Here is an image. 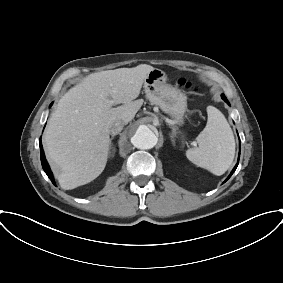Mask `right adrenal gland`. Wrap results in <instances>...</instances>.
Returning a JSON list of instances; mask_svg holds the SVG:
<instances>
[{"label":"right adrenal gland","instance_id":"2a0ac1e0","mask_svg":"<svg viewBox=\"0 0 283 283\" xmlns=\"http://www.w3.org/2000/svg\"><path fill=\"white\" fill-rule=\"evenodd\" d=\"M113 139H114V136H112L111 139H110V147H109L110 151H109V156H113L114 153H115V148L113 147V144H112V140H113Z\"/></svg>","mask_w":283,"mask_h":283}]
</instances>
